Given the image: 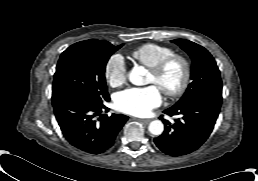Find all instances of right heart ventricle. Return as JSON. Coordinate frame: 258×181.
I'll use <instances>...</instances> for the list:
<instances>
[{
  "mask_svg": "<svg viewBox=\"0 0 258 181\" xmlns=\"http://www.w3.org/2000/svg\"><path fill=\"white\" fill-rule=\"evenodd\" d=\"M172 53L173 50L170 47L156 43H145L134 49L131 52V57L145 67L151 68Z\"/></svg>",
  "mask_w": 258,
  "mask_h": 181,
  "instance_id": "right-heart-ventricle-1",
  "label": "right heart ventricle"
}]
</instances>
